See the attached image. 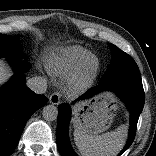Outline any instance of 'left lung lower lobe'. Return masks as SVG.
<instances>
[{
	"instance_id": "1",
	"label": "left lung lower lobe",
	"mask_w": 156,
	"mask_h": 156,
	"mask_svg": "<svg viewBox=\"0 0 156 156\" xmlns=\"http://www.w3.org/2000/svg\"><path fill=\"white\" fill-rule=\"evenodd\" d=\"M104 90H111L117 93L131 112L129 138L125 147L118 155L120 156L131 145L135 137L137 122L145 101L142 81L112 80L99 82L97 86L89 89L86 93L81 95L79 99L90 98L94 94ZM70 114L71 109L67 103H63L59 106L57 121V146L61 156H77L68 139Z\"/></svg>"
}]
</instances>
